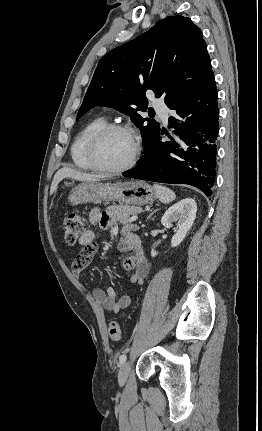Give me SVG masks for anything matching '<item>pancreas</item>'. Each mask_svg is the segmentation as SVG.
I'll list each match as a JSON object with an SVG mask.
<instances>
[{"label":"pancreas","mask_w":262,"mask_h":431,"mask_svg":"<svg viewBox=\"0 0 262 431\" xmlns=\"http://www.w3.org/2000/svg\"><path fill=\"white\" fill-rule=\"evenodd\" d=\"M109 212L117 218V220L122 224H127L132 222L131 216L139 213L141 211L140 207L127 206V205H117L108 207Z\"/></svg>","instance_id":"obj_1"}]
</instances>
